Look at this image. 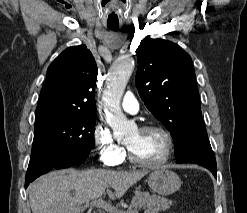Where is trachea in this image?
I'll return each mask as SVG.
<instances>
[{
	"label": "trachea",
	"instance_id": "trachea-1",
	"mask_svg": "<svg viewBox=\"0 0 247 213\" xmlns=\"http://www.w3.org/2000/svg\"><path fill=\"white\" fill-rule=\"evenodd\" d=\"M107 27L111 30H116L118 29V25H107Z\"/></svg>",
	"mask_w": 247,
	"mask_h": 213
}]
</instances>
